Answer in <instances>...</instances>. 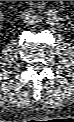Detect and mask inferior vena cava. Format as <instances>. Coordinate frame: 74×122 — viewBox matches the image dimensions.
<instances>
[{"label":"inferior vena cava","instance_id":"602c4592","mask_svg":"<svg viewBox=\"0 0 74 122\" xmlns=\"http://www.w3.org/2000/svg\"><path fill=\"white\" fill-rule=\"evenodd\" d=\"M34 11L31 10H25L24 12L21 13V19L24 23H30L29 19L30 17H34Z\"/></svg>","mask_w":74,"mask_h":122}]
</instances>
